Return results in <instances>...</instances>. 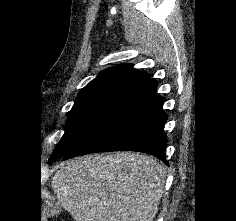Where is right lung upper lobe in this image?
<instances>
[{
    "instance_id": "1",
    "label": "right lung upper lobe",
    "mask_w": 236,
    "mask_h": 221,
    "mask_svg": "<svg viewBox=\"0 0 236 221\" xmlns=\"http://www.w3.org/2000/svg\"><path fill=\"white\" fill-rule=\"evenodd\" d=\"M155 83L148 73L136 70L129 64H121L101 72L87 84L78 97L110 92H129L136 95Z\"/></svg>"
}]
</instances>
